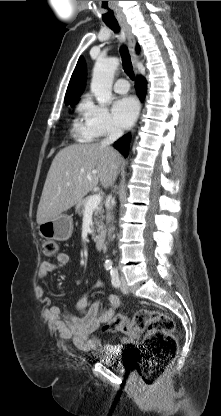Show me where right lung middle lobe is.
<instances>
[{"label": "right lung middle lobe", "instance_id": "1", "mask_svg": "<svg viewBox=\"0 0 221 416\" xmlns=\"http://www.w3.org/2000/svg\"><path fill=\"white\" fill-rule=\"evenodd\" d=\"M76 103L77 101H74V102L66 103V105H71V107H73Z\"/></svg>", "mask_w": 221, "mask_h": 416}]
</instances>
